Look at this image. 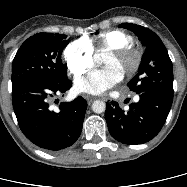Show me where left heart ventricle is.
<instances>
[{"instance_id": "obj_1", "label": "left heart ventricle", "mask_w": 187, "mask_h": 187, "mask_svg": "<svg viewBox=\"0 0 187 187\" xmlns=\"http://www.w3.org/2000/svg\"><path fill=\"white\" fill-rule=\"evenodd\" d=\"M134 58L131 55L122 57V58H115L111 55H106L103 61V64L105 67H113L118 72H120L122 75L128 71L132 64H133Z\"/></svg>"}]
</instances>
